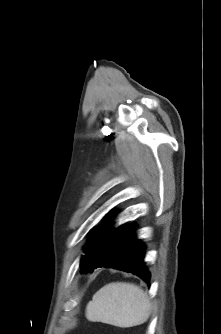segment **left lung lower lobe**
<instances>
[{
    "instance_id": "1",
    "label": "left lung lower lobe",
    "mask_w": 221,
    "mask_h": 334,
    "mask_svg": "<svg viewBox=\"0 0 221 334\" xmlns=\"http://www.w3.org/2000/svg\"><path fill=\"white\" fill-rule=\"evenodd\" d=\"M145 245L135 238L130 226L121 225L108 229L99 240L94 252V261L81 272L98 267H112L133 273L150 285V273L144 266Z\"/></svg>"
}]
</instances>
